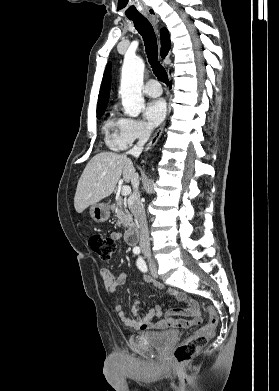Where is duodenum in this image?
<instances>
[{
  "instance_id": "410a0bca",
  "label": "duodenum",
  "mask_w": 279,
  "mask_h": 391,
  "mask_svg": "<svg viewBox=\"0 0 279 391\" xmlns=\"http://www.w3.org/2000/svg\"><path fill=\"white\" fill-rule=\"evenodd\" d=\"M139 228L137 226H132L125 234V240L129 245H135L139 242Z\"/></svg>"
}]
</instances>
